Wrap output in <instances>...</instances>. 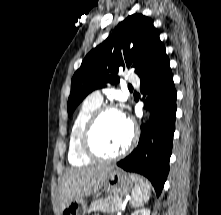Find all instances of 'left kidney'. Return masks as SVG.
I'll return each mask as SVG.
<instances>
[{"label":"left kidney","instance_id":"1","mask_svg":"<svg viewBox=\"0 0 221 215\" xmlns=\"http://www.w3.org/2000/svg\"><path fill=\"white\" fill-rule=\"evenodd\" d=\"M131 215H150V210L146 208H142L140 210H136Z\"/></svg>","mask_w":221,"mask_h":215}]
</instances>
